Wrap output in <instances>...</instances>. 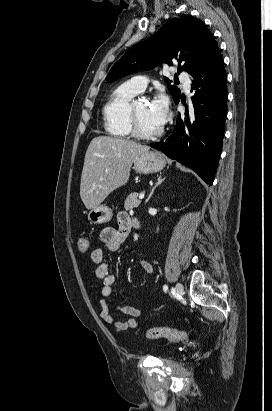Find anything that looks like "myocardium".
<instances>
[{"label":"myocardium","instance_id":"1","mask_svg":"<svg viewBox=\"0 0 272 411\" xmlns=\"http://www.w3.org/2000/svg\"><path fill=\"white\" fill-rule=\"evenodd\" d=\"M135 102L136 101H132L128 108V121L131 134L134 137L144 140H153L159 138L163 134V128H159L155 132H145L140 128L135 112Z\"/></svg>","mask_w":272,"mask_h":411}]
</instances>
